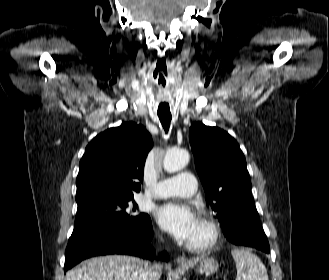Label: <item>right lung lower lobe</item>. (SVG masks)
<instances>
[{"mask_svg": "<svg viewBox=\"0 0 329 280\" xmlns=\"http://www.w3.org/2000/svg\"><path fill=\"white\" fill-rule=\"evenodd\" d=\"M153 236L151 221L136 233L110 225H93L72 234L66 251L64 272L84 259L98 255L127 254L153 260L155 250L149 243ZM167 260V254L162 253Z\"/></svg>", "mask_w": 329, "mask_h": 280, "instance_id": "right-lung-lower-lobe-1", "label": "right lung lower lobe"}]
</instances>
